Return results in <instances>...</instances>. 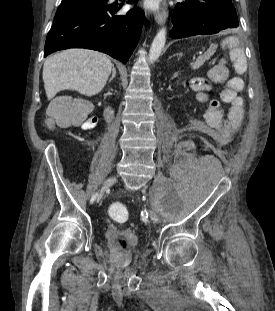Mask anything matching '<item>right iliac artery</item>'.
Masks as SVG:
<instances>
[{"instance_id": "right-iliac-artery-1", "label": "right iliac artery", "mask_w": 275, "mask_h": 311, "mask_svg": "<svg viewBox=\"0 0 275 311\" xmlns=\"http://www.w3.org/2000/svg\"><path fill=\"white\" fill-rule=\"evenodd\" d=\"M97 195H98V194L96 193V194H94V195L91 197V200H90L91 203H93V202L95 201Z\"/></svg>"}]
</instances>
